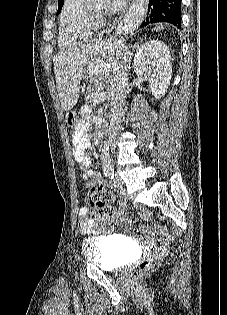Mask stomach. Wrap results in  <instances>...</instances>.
<instances>
[{
  "label": "stomach",
  "instance_id": "0dacf381",
  "mask_svg": "<svg viewBox=\"0 0 227 315\" xmlns=\"http://www.w3.org/2000/svg\"><path fill=\"white\" fill-rule=\"evenodd\" d=\"M97 74L96 68H86L83 72L84 80L79 81V86L81 87L82 91H89L90 90V82H94L95 75ZM74 117L76 116L75 113H72Z\"/></svg>",
  "mask_w": 227,
  "mask_h": 315
}]
</instances>
